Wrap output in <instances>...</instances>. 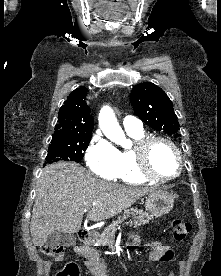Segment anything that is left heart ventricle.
<instances>
[{
    "instance_id": "1",
    "label": "left heart ventricle",
    "mask_w": 221,
    "mask_h": 276,
    "mask_svg": "<svg viewBox=\"0 0 221 276\" xmlns=\"http://www.w3.org/2000/svg\"><path fill=\"white\" fill-rule=\"evenodd\" d=\"M152 170L161 176H170L177 172L178 161L173 149L165 142H156L150 149Z\"/></svg>"
}]
</instances>
